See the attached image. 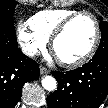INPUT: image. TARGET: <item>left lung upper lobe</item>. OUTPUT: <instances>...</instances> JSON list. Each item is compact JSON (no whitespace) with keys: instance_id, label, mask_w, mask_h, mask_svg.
<instances>
[{"instance_id":"left-lung-upper-lobe-1","label":"left lung upper lobe","mask_w":108,"mask_h":108,"mask_svg":"<svg viewBox=\"0 0 108 108\" xmlns=\"http://www.w3.org/2000/svg\"><path fill=\"white\" fill-rule=\"evenodd\" d=\"M101 30V43L96 54H108V22L101 21L99 23Z\"/></svg>"}]
</instances>
